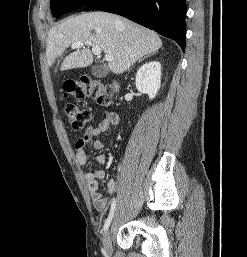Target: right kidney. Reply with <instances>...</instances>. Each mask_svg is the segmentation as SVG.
Listing matches in <instances>:
<instances>
[{
  "label": "right kidney",
  "instance_id": "right-kidney-1",
  "mask_svg": "<svg viewBox=\"0 0 247 257\" xmlns=\"http://www.w3.org/2000/svg\"><path fill=\"white\" fill-rule=\"evenodd\" d=\"M136 88L146 93L149 99L155 98L161 85V64L158 61L145 63L136 74Z\"/></svg>",
  "mask_w": 247,
  "mask_h": 257
}]
</instances>
